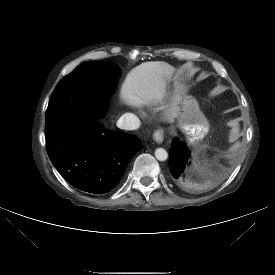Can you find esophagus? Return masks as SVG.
<instances>
[{
    "instance_id": "obj_1",
    "label": "esophagus",
    "mask_w": 275,
    "mask_h": 275,
    "mask_svg": "<svg viewBox=\"0 0 275 275\" xmlns=\"http://www.w3.org/2000/svg\"><path fill=\"white\" fill-rule=\"evenodd\" d=\"M153 138L157 143H162L164 139V131L162 129H158L154 132Z\"/></svg>"
}]
</instances>
